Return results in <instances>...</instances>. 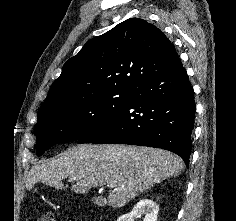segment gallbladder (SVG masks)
Returning <instances> with one entry per match:
<instances>
[{"label": "gallbladder", "instance_id": "gallbladder-1", "mask_svg": "<svg viewBox=\"0 0 236 221\" xmlns=\"http://www.w3.org/2000/svg\"><path fill=\"white\" fill-rule=\"evenodd\" d=\"M94 202L97 203V204L100 203L99 198H95V199H94Z\"/></svg>", "mask_w": 236, "mask_h": 221}]
</instances>
